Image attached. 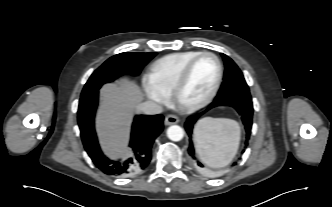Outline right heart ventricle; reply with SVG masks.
Instances as JSON below:
<instances>
[{
	"mask_svg": "<svg viewBox=\"0 0 332 207\" xmlns=\"http://www.w3.org/2000/svg\"><path fill=\"white\" fill-rule=\"evenodd\" d=\"M200 51L168 54L156 60L147 74L149 85L165 96L172 94L174 86L187 63Z\"/></svg>",
	"mask_w": 332,
	"mask_h": 207,
	"instance_id": "e07e8e85",
	"label": "right heart ventricle"
}]
</instances>
